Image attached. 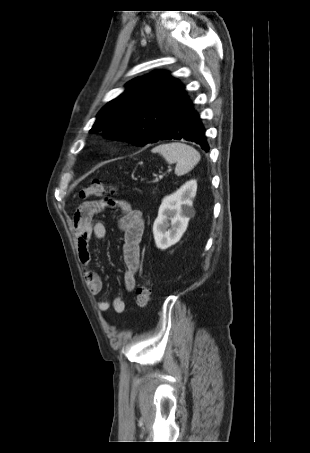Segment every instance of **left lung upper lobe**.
<instances>
[{"mask_svg":"<svg viewBox=\"0 0 310 453\" xmlns=\"http://www.w3.org/2000/svg\"><path fill=\"white\" fill-rule=\"evenodd\" d=\"M126 90L105 105L90 133L144 146L160 140L166 131L185 87L168 72L137 77Z\"/></svg>","mask_w":310,"mask_h":453,"instance_id":"5c2ea615","label":"left lung upper lobe"}]
</instances>
